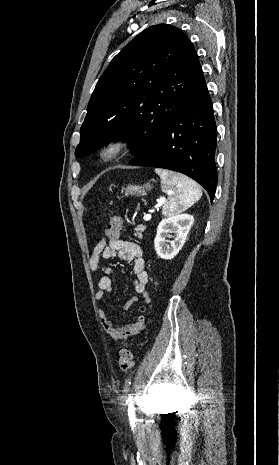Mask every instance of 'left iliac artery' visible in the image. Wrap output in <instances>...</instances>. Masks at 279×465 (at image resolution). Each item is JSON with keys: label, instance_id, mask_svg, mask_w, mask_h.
<instances>
[{"label": "left iliac artery", "instance_id": "1", "mask_svg": "<svg viewBox=\"0 0 279 465\" xmlns=\"http://www.w3.org/2000/svg\"><path fill=\"white\" fill-rule=\"evenodd\" d=\"M127 403H129V406H128V415H129V419L131 422H134L135 421V408H134V405L131 401V397L128 398V400L126 401Z\"/></svg>", "mask_w": 279, "mask_h": 465}]
</instances>
